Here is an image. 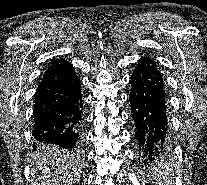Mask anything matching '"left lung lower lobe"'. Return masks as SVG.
<instances>
[{"label":"left lung lower lobe","instance_id":"obj_1","mask_svg":"<svg viewBox=\"0 0 207 185\" xmlns=\"http://www.w3.org/2000/svg\"><path fill=\"white\" fill-rule=\"evenodd\" d=\"M131 116L135 139L144 164L160 161L170 153L168 104L161 72L154 66L138 64L131 77Z\"/></svg>","mask_w":207,"mask_h":185}]
</instances>
